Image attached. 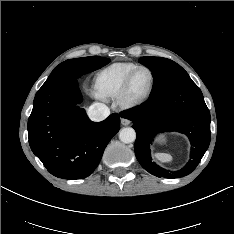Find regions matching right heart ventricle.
Listing matches in <instances>:
<instances>
[{
  "mask_svg": "<svg viewBox=\"0 0 234 234\" xmlns=\"http://www.w3.org/2000/svg\"><path fill=\"white\" fill-rule=\"evenodd\" d=\"M137 66L134 63H115L99 71L95 77L97 94L102 98H117L127 76Z\"/></svg>",
  "mask_w": 234,
  "mask_h": 234,
  "instance_id": "e07e8e85",
  "label": "right heart ventricle"
}]
</instances>
